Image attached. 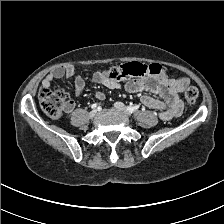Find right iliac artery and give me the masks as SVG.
Instances as JSON below:
<instances>
[{"mask_svg": "<svg viewBox=\"0 0 224 224\" xmlns=\"http://www.w3.org/2000/svg\"><path fill=\"white\" fill-rule=\"evenodd\" d=\"M91 107H92V109H95V108L98 107V104L97 103H94Z\"/></svg>", "mask_w": 224, "mask_h": 224, "instance_id": "obj_1", "label": "right iliac artery"}]
</instances>
